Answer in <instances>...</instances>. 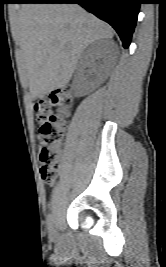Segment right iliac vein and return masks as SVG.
<instances>
[{"instance_id":"1","label":"right iliac vein","mask_w":166,"mask_h":267,"mask_svg":"<svg viewBox=\"0 0 166 267\" xmlns=\"http://www.w3.org/2000/svg\"><path fill=\"white\" fill-rule=\"evenodd\" d=\"M57 237V231L56 228L54 226H52L51 228H49V238L50 240H54Z\"/></svg>"}]
</instances>
